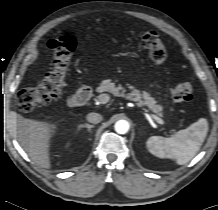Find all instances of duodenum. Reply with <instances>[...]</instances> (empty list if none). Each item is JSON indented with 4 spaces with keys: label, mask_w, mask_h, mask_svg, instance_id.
<instances>
[{
    "label": "duodenum",
    "mask_w": 218,
    "mask_h": 210,
    "mask_svg": "<svg viewBox=\"0 0 218 210\" xmlns=\"http://www.w3.org/2000/svg\"><path fill=\"white\" fill-rule=\"evenodd\" d=\"M91 90L87 87L80 88L74 97V107H80L84 105L90 98Z\"/></svg>",
    "instance_id": "obj_1"
}]
</instances>
